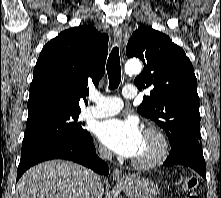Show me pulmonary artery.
Returning a JSON list of instances; mask_svg holds the SVG:
<instances>
[{"mask_svg": "<svg viewBox=\"0 0 221 198\" xmlns=\"http://www.w3.org/2000/svg\"><path fill=\"white\" fill-rule=\"evenodd\" d=\"M136 89L134 86L126 85L122 90V95L126 99H133L136 97ZM90 100L94 105L86 107L82 111L84 118H103L118 113L123 106L120 98L114 96H104L99 93H92Z\"/></svg>", "mask_w": 221, "mask_h": 198, "instance_id": "e3ab8cb5", "label": "pulmonary artery"}]
</instances>
